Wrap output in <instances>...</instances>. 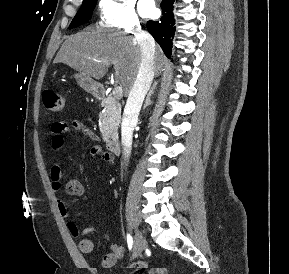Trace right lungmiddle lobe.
<instances>
[{"mask_svg":"<svg viewBox=\"0 0 289 274\" xmlns=\"http://www.w3.org/2000/svg\"><path fill=\"white\" fill-rule=\"evenodd\" d=\"M97 0H83L80 10L75 15L69 28H75L83 23H86L91 18L92 12L96 6Z\"/></svg>","mask_w":289,"mask_h":274,"instance_id":"obj_1","label":"right lung middle lobe"}]
</instances>
